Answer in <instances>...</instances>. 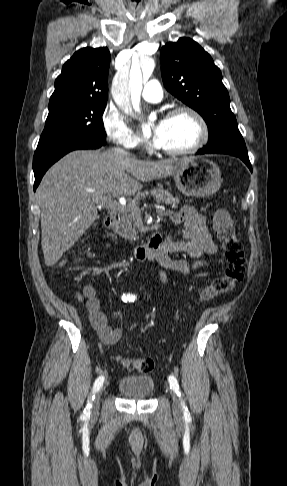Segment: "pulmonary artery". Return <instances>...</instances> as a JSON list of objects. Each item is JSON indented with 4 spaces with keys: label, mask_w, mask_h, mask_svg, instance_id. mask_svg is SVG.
<instances>
[{
    "label": "pulmonary artery",
    "mask_w": 287,
    "mask_h": 486,
    "mask_svg": "<svg viewBox=\"0 0 287 486\" xmlns=\"http://www.w3.org/2000/svg\"><path fill=\"white\" fill-rule=\"evenodd\" d=\"M163 96L162 88L157 80H150L144 85L142 97L149 102H159Z\"/></svg>",
    "instance_id": "e3ab8cb5"
}]
</instances>
